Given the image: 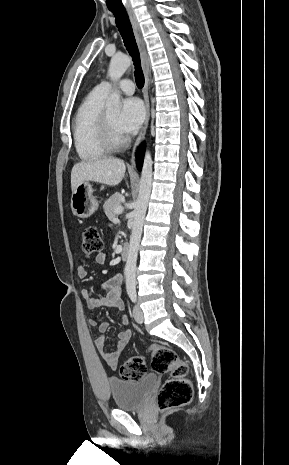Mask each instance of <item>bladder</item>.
I'll return each instance as SVG.
<instances>
[{
  "mask_svg": "<svg viewBox=\"0 0 289 465\" xmlns=\"http://www.w3.org/2000/svg\"><path fill=\"white\" fill-rule=\"evenodd\" d=\"M158 378L149 374L139 380H121L111 378L109 388L116 408L120 410H137L144 406Z\"/></svg>",
  "mask_w": 289,
  "mask_h": 465,
  "instance_id": "bladder-1",
  "label": "bladder"
}]
</instances>
